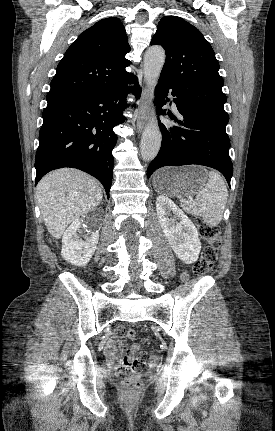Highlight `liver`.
Returning a JSON list of instances; mask_svg holds the SVG:
<instances>
[{"mask_svg":"<svg viewBox=\"0 0 275 431\" xmlns=\"http://www.w3.org/2000/svg\"><path fill=\"white\" fill-rule=\"evenodd\" d=\"M36 196L48 232L61 238L66 227L100 204L101 185L90 175L76 169H59L44 176Z\"/></svg>","mask_w":275,"mask_h":431,"instance_id":"obj_1","label":"liver"}]
</instances>
